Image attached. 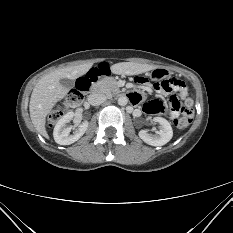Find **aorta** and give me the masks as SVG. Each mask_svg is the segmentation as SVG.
I'll return each mask as SVG.
<instances>
[{
  "label": "aorta",
  "instance_id": "obj_1",
  "mask_svg": "<svg viewBox=\"0 0 233 233\" xmlns=\"http://www.w3.org/2000/svg\"><path fill=\"white\" fill-rule=\"evenodd\" d=\"M128 103V98L126 96H121L118 98V104L120 106H125Z\"/></svg>",
  "mask_w": 233,
  "mask_h": 233
}]
</instances>
